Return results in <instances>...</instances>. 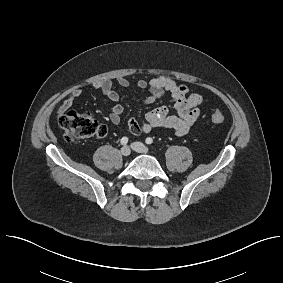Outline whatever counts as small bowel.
I'll return each mask as SVG.
<instances>
[{
    "instance_id": "obj_1",
    "label": "small bowel",
    "mask_w": 283,
    "mask_h": 283,
    "mask_svg": "<svg viewBox=\"0 0 283 283\" xmlns=\"http://www.w3.org/2000/svg\"><path fill=\"white\" fill-rule=\"evenodd\" d=\"M117 85L119 88L124 89L129 86V81L126 78L120 77L117 79ZM94 87L114 103L109 115V121L114 125L120 124L124 108L119 103V94L114 83L111 81H101L95 83ZM137 87L148 91L147 96L143 99V103L146 105L156 102L165 93H169L175 114L169 113L167 105H161L148 111L145 115V122L142 124L135 118H130L127 125L130 133L133 135L149 133L153 129H161L173 132L177 136H183L189 132L200 115L199 106L202 103V96L197 93H190L186 85L179 84L170 77L157 76L151 80L141 79L137 82ZM81 96V89L73 90L61 102L59 112L63 113L69 110L73 106L74 100Z\"/></svg>"
}]
</instances>
